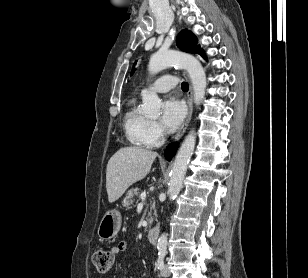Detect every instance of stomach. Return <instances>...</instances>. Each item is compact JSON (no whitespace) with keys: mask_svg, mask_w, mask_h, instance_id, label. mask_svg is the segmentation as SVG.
<instances>
[{"mask_svg":"<svg viewBox=\"0 0 308 278\" xmlns=\"http://www.w3.org/2000/svg\"><path fill=\"white\" fill-rule=\"evenodd\" d=\"M121 214L117 210L106 212L98 227V236L102 240H108L117 235L121 228Z\"/></svg>","mask_w":308,"mask_h":278,"instance_id":"stomach-1","label":"stomach"}]
</instances>
